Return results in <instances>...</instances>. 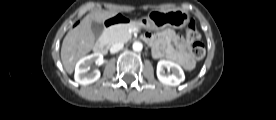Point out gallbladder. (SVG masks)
Wrapping results in <instances>:
<instances>
[{
    "instance_id": "bac80fb5",
    "label": "gallbladder",
    "mask_w": 276,
    "mask_h": 120,
    "mask_svg": "<svg viewBox=\"0 0 276 120\" xmlns=\"http://www.w3.org/2000/svg\"><path fill=\"white\" fill-rule=\"evenodd\" d=\"M91 30L96 38H99L104 30V26L102 23L93 22L91 25Z\"/></svg>"
}]
</instances>
